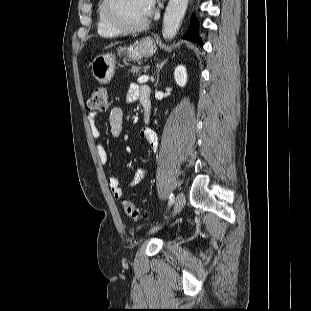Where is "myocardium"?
I'll return each mask as SVG.
<instances>
[{
  "mask_svg": "<svg viewBox=\"0 0 311 311\" xmlns=\"http://www.w3.org/2000/svg\"><path fill=\"white\" fill-rule=\"evenodd\" d=\"M118 2V0H104L103 5V15L106 20V22L113 27L115 30H117L119 33L124 34H133V33H139L144 30H146L151 22L150 16L146 21H144L140 25L136 26H128L125 25L120 19L117 17L115 12V5Z\"/></svg>",
  "mask_w": 311,
  "mask_h": 311,
  "instance_id": "obj_1",
  "label": "myocardium"
}]
</instances>
